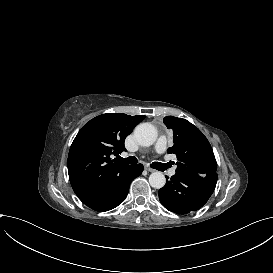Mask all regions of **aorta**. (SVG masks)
<instances>
[{
  "instance_id": "1",
  "label": "aorta",
  "mask_w": 273,
  "mask_h": 273,
  "mask_svg": "<svg viewBox=\"0 0 273 273\" xmlns=\"http://www.w3.org/2000/svg\"><path fill=\"white\" fill-rule=\"evenodd\" d=\"M134 137L141 146H151L157 139V130L150 123H141L134 130ZM149 183L155 189L164 187L166 178L161 172H153L149 176Z\"/></svg>"
}]
</instances>
